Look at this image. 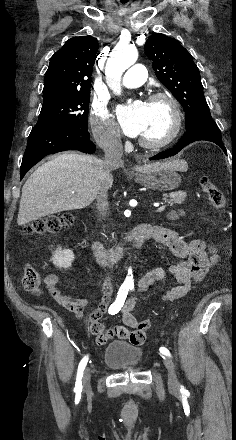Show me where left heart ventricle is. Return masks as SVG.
<instances>
[{
	"mask_svg": "<svg viewBox=\"0 0 236 440\" xmlns=\"http://www.w3.org/2000/svg\"><path fill=\"white\" fill-rule=\"evenodd\" d=\"M148 118L140 135L141 138L156 141L167 135L172 124L171 110L164 101L147 104Z\"/></svg>",
	"mask_w": 236,
	"mask_h": 440,
	"instance_id": "b2bd125f",
	"label": "left heart ventricle"
}]
</instances>
